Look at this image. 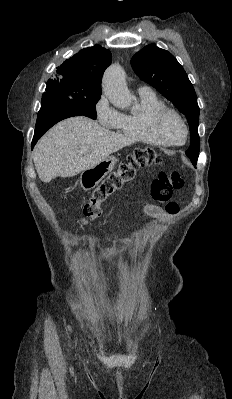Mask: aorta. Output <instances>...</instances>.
<instances>
[{
    "label": "aorta",
    "instance_id": "aorta-1",
    "mask_svg": "<svg viewBox=\"0 0 232 399\" xmlns=\"http://www.w3.org/2000/svg\"><path fill=\"white\" fill-rule=\"evenodd\" d=\"M102 88L110 102L118 108L128 107L133 100L127 88L124 70L118 64H112L105 71Z\"/></svg>",
    "mask_w": 232,
    "mask_h": 399
}]
</instances>
